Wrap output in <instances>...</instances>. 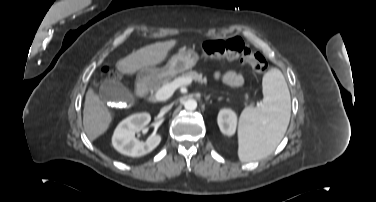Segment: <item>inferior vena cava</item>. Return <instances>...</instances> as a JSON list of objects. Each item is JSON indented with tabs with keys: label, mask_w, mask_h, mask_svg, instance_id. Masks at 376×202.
Here are the masks:
<instances>
[{
	"label": "inferior vena cava",
	"mask_w": 376,
	"mask_h": 202,
	"mask_svg": "<svg viewBox=\"0 0 376 202\" xmlns=\"http://www.w3.org/2000/svg\"><path fill=\"white\" fill-rule=\"evenodd\" d=\"M169 110H170V106H166V107H163V108H162L161 112H162V113H166V112L169 111Z\"/></svg>",
	"instance_id": "inferior-vena-cava-1"
}]
</instances>
